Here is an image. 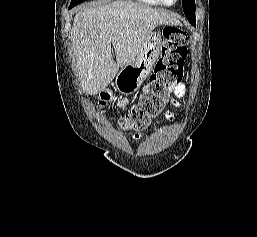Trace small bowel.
<instances>
[{"mask_svg":"<svg viewBox=\"0 0 257 237\" xmlns=\"http://www.w3.org/2000/svg\"><path fill=\"white\" fill-rule=\"evenodd\" d=\"M185 93H186V87H185V85L182 84V83L177 84L176 87H175L174 90H173V94H174V97H175L176 99H179V98L183 97V96L185 95ZM172 101H173V103H174L176 106L179 105V102H178L177 100H172ZM128 103H129V99H127V98L121 99V100H119V101L117 102V107L122 108V107L126 106ZM165 117H166V119H168V120H170V121H173V120H174V115H173V113H172L171 111H166ZM143 136H144L143 134H137V135H135L133 138H134L135 140H139V139H141Z\"/></svg>","mask_w":257,"mask_h":237,"instance_id":"small-bowel-1","label":"small bowel"}]
</instances>
